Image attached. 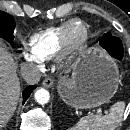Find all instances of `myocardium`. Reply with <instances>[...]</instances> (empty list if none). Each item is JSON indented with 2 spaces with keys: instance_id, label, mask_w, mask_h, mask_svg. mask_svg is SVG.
<instances>
[{
  "instance_id": "obj_1",
  "label": "myocardium",
  "mask_w": 130,
  "mask_h": 130,
  "mask_svg": "<svg viewBox=\"0 0 130 130\" xmlns=\"http://www.w3.org/2000/svg\"><path fill=\"white\" fill-rule=\"evenodd\" d=\"M79 26L81 35L78 38L74 37V29ZM88 27L79 19L71 20L64 31L62 38V46L60 49V64L65 65L72 60L77 54L83 51L88 40Z\"/></svg>"
}]
</instances>
